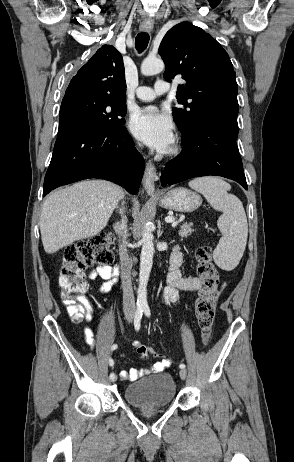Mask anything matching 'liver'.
Returning <instances> with one entry per match:
<instances>
[{
    "label": "liver",
    "mask_w": 294,
    "mask_h": 462,
    "mask_svg": "<svg viewBox=\"0 0 294 462\" xmlns=\"http://www.w3.org/2000/svg\"><path fill=\"white\" fill-rule=\"evenodd\" d=\"M123 196L120 186L105 180L83 181L52 193L40 216L44 250L52 254L100 233Z\"/></svg>",
    "instance_id": "1"
}]
</instances>
